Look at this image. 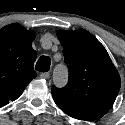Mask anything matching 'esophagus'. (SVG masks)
Segmentation results:
<instances>
[{
	"label": "esophagus",
	"instance_id": "1",
	"mask_svg": "<svg viewBox=\"0 0 125 125\" xmlns=\"http://www.w3.org/2000/svg\"><path fill=\"white\" fill-rule=\"evenodd\" d=\"M50 76V73L49 72H45V73H41L40 74V78L42 79H48Z\"/></svg>",
	"mask_w": 125,
	"mask_h": 125
}]
</instances>
